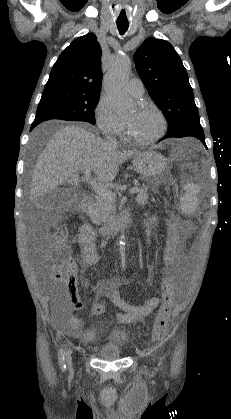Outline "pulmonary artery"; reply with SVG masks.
Instances as JSON below:
<instances>
[{
	"label": "pulmonary artery",
	"mask_w": 231,
	"mask_h": 419,
	"mask_svg": "<svg viewBox=\"0 0 231 419\" xmlns=\"http://www.w3.org/2000/svg\"><path fill=\"white\" fill-rule=\"evenodd\" d=\"M128 92L134 97H141L144 93V85L142 81L138 78H133L129 81Z\"/></svg>",
	"instance_id": "1"
}]
</instances>
